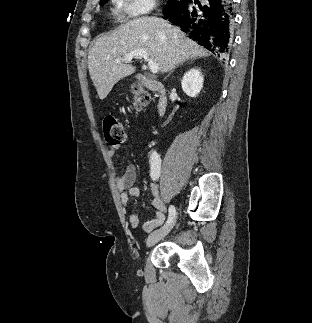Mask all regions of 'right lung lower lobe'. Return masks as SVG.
I'll list each match as a JSON object with an SVG mask.
<instances>
[{
  "instance_id": "right-lung-lower-lobe-1",
  "label": "right lung lower lobe",
  "mask_w": 312,
  "mask_h": 323,
  "mask_svg": "<svg viewBox=\"0 0 312 323\" xmlns=\"http://www.w3.org/2000/svg\"><path fill=\"white\" fill-rule=\"evenodd\" d=\"M232 0H183L163 10L165 19L215 54L229 52L234 28Z\"/></svg>"
}]
</instances>
